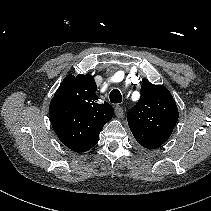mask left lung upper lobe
Masks as SVG:
<instances>
[{"label": "left lung upper lobe", "mask_w": 211, "mask_h": 211, "mask_svg": "<svg viewBox=\"0 0 211 211\" xmlns=\"http://www.w3.org/2000/svg\"><path fill=\"white\" fill-rule=\"evenodd\" d=\"M137 105L127 120L136 141L147 149L160 147L170 137L178 120V109L171 93L163 85L144 81Z\"/></svg>", "instance_id": "obj_1"}]
</instances>
